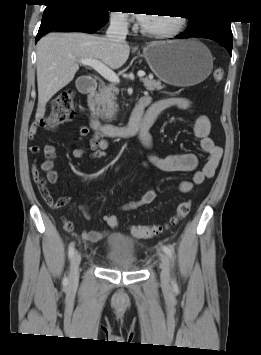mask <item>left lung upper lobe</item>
<instances>
[{"instance_id":"obj_1","label":"left lung upper lobe","mask_w":261,"mask_h":355,"mask_svg":"<svg viewBox=\"0 0 261 355\" xmlns=\"http://www.w3.org/2000/svg\"><path fill=\"white\" fill-rule=\"evenodd\" d=\"M215 24L230 26V21L221 20V19L189 18V26L186 32L198 33L202 31L204 28Z\"/></svg>"}]
</instances>
